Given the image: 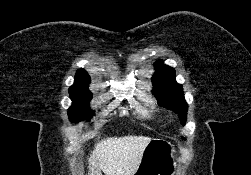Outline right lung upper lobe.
<instances>
[{"label":"right lung upper lobe","instance_id":"1","mask_svg":"<svg viewBox=\"0 0 251 175\" xmlns=\"http://www.w3.org/2000/svg\"><path fill=\"white\" fill-rule=\"evenodd\" d=\"M90 81L91 79L88 73L84 69H79L76 72L74 84L70 88L73 87L88 88Z\"/></svg>","mask_w":251,"mask_h":175}]
</instances>
